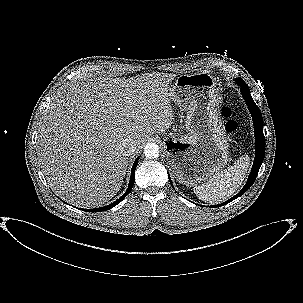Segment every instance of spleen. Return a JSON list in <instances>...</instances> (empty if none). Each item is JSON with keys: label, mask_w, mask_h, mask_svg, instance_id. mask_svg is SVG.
Masks as SVG:
<instances>
[{"label": "spleen", "mask_w": 303, "mask_h": 303, "mask_svg": "<svg viewBox=\"0 0 303 303\" xmlns=\"http://www.w3.org/2000/svg\"><path fill=\"white\" fill-rule=\"evenodd\" d=\"M250 166L247 155L241 156L233 166L214 175L209 181L193 188L197 197L210 204L226 201L240 187Z\"/></svg>", "instance_id": "3e777b00"}]
</instances>
